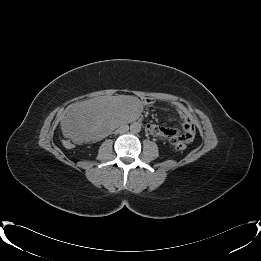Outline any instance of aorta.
<instances>
[{"mask_svg": "<svg viewBox=\"0 0 261 261\" xmlns=\"http://www.w3.org/2000/svg\"><path fill=\"white\" fill-rule=\"evenodd\" d=\"M130 130L132 133L136 134L141 131V124L138 122H134L130 125Z\"/></svg>", "mask_w": 261, "mask_h": 261, "instance_id": "1", "label": "aorta"}]
</instances>
